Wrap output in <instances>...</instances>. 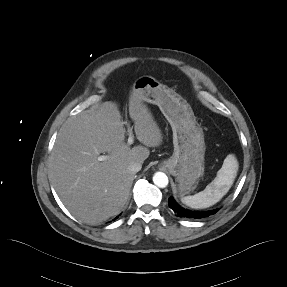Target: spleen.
I'll use <instances>...</instances> for the list:
<instances>
[{"label":"spleen","instance_id":"obj_1","mask_svg":"<svg viewBox=\"0 0 287 287\" xmlns=\"http://www.w3.org/2000/svg\"><path fill=\"white\" fill-rule=\"evenodd\" d=\"M238 167L236 157L233 154H229L224 159L223 165L217 172L215 179L203 191L193 196L183 197L181 199L182 203L194 209L208 208L216 204L233 185Z\"/></svg>","mask_w":287,"mask_h":287}]
</instances>
